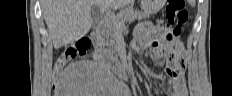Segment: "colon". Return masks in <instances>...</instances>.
<instances>
[{"label": "colon", "mask_w": 232, "mask_h": 96, "mask_svg": "<svg viewBox=\"0 0 232 96\" xmlns=\"http://www.w3.org/2000/svg\"><path fill=\"white\" fill-rule=\"evenodd\" d=\"M165 20H160L158 26L161 25L165 33L162 35L160 41L154 42V46H159L162 44L160 50V55L165 56L169 60L174 62L177 49L175 42L181 34L182 25L188 19V11L185 6L184 0H168L165 7ZM90 48V41L87 38H81L73 44L67 45L62 53L58 56L55 65L54 71L57 73L68 60L74 58H84L86 57Z\"/></svg>", "instance_id": "5ec220e1"}]
</instances>
